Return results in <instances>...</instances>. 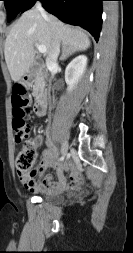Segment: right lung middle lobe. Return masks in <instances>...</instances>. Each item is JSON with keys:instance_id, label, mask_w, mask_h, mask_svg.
<instances>
[{"instance_id": "dd1d6c3e", "label": "right lung middle lobe", "mask_w": 133, "mask_h": 253, "mask_svg": "<svg viewBox=\"0 0 133 253\" xmlns=\"http://www.w3.org/2000/svg\"><path fill=\"white\" fill-rule=\"evenodd\" d=\"M8 10V22L21 12L26 0H3ZM12 14V16H11Z\"/></svg>"}]
</instances>
